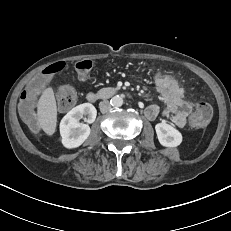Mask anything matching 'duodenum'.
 Here are the masks:
<instances>
[{"label": "duodenum", "mask_w": 231, "mask_h": 231, "mask_svg": "<svg viewBox=\"0 0 231 231\" xmlns=\"http://www.w3.org/2000/svg\"><path fill=\"white\" fill-rule=\"evenodd\" d=\"M117 92H118L117 88L106 87V88H102L96 92H89L86 95V99L90 103H95V102L100 101V100L108 99V98L114 96Z\"/></svg>", "instance_id": "410a0bca"}]
</instances>
